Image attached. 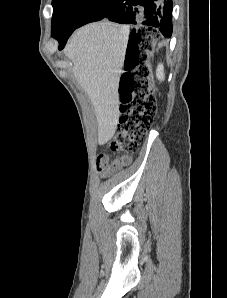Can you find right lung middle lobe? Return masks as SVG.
Instances as JSON below:
<instances>
[{"mask_svg":"<svg viewBox=\"0 0 227 298\" xmlns=\"http://www.w3.org/2000/svg\"><path fill=\"white\" fill-rule=\"evenodd\" d=\"M103 0H52V36L74 31Z\"/></svg>","mask_w":227,"mask_h":298,"instance_id":"1","label":"right lung middle lobe"}]
</instances>
